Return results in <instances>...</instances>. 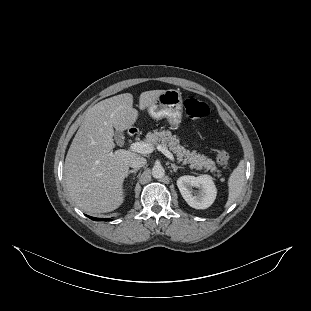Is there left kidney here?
Here are the masks:
<instances>
[{
    "label": "left kidney",
    "instance_id": "left-kidney-1",
    "mask_svg": "<svg viewBox=\"0 0 311 311\" xmlns=\"http://www.w3.org/2000/svg\"><path fill=\"white\" fill-rule=\"evenodd\" d=\"M177 187L189 206L195 209H206L216 199L217 189L213 178L204 174L198 177L184 175L178 178ZM198 188L194 191L193 188Z\"/></svg>",
    "mask_w": 311,
    "mask_h": 311
}]
</instances>
